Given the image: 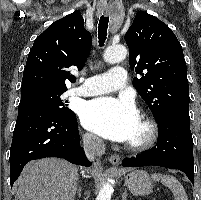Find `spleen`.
<instances>
[{"label": "spleen", "instance_id": "spleen-1", "mask_svg": "<svg viewBox=\"0 0 201 200\" xmlns=\"http://www.w3.org/2000/svg\"><path fill=\"white\" fill-rule=\"evenodd\" d=\"M153 181H161L163 185L170 189L173 193L175 200H188L185 189L181 183L172 175L154 173L152 176Z\"/></svg>", "mask_w": 201, "mask_h": 200}]
</instances>
